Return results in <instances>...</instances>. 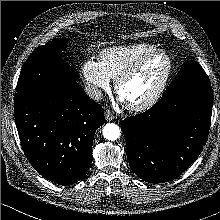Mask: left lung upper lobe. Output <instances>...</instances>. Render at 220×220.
<instances>
[{"label": "left lung upper lobe", "mask_w": 220, "mask_h": 220, "mask_svg": "<svg viewBox=\"0 0 220 220\" xmlns=\"http://www.w3.org/2000/svg\"><path fill=\"white\" fill-rule=\"evenodd\" d=\"M206 84H210V81L203 68L194 60L185 61L175 80L168 86L163 96H174L189 87Z\"/></svg>", "instance_id": "5c2ea615"}]
</instances>
